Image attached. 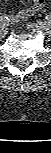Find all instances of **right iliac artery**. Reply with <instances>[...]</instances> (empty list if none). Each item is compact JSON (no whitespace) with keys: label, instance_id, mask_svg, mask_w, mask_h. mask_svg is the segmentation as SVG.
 <instances>
[{"label":"right iliac artery","instance_id":"1","mask_svg":"<svg viewBox=\"0 0 51 153\" xmlns=\"http://www.w3.org/2000/svg\"><path fill=\"white\" fill-rule=\"evenodd\" d=\"M0 21H1V24L7 25L9 22V19L6 15H3V16H1Z\"/></svg>","mask_w":51,"mask_h":153}]
</instances>
